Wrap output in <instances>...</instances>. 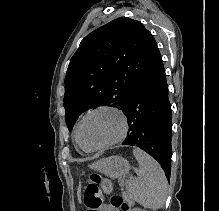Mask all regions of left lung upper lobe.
I'll return each instance as SVG.
<instances>
[{"instance_id":"left-lung-upper-lobe-1","label":"left lung upper lobe","mask_w":219,"mask_h":211,"mask_svg":"<svg viewBox=\"0 0 219 211\" xmlns=\"http://www.w3.org/2000/svg\"><path fill=\"white\" fill-rule=\"evenodd\" d=\"M162 61L152 34L136 20L120 17L87 35L65 77L66 124L98 106L123 113L142 80Z\"/></svg>"}]
</instances>
